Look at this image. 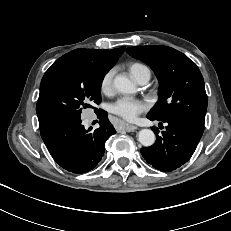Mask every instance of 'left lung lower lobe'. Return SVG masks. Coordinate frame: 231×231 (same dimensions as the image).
<instances>
[{
  "label": "left lung lower lobe",
  "mask_w": 231,
  "mask_h": 231,
  "mask_svg": "<svg viewBox=\"0 0 231 231\" xmlns=\"http://www.w3.org/2000/svg\"><path fill=\"white\" fill-rule=\"evenodd\" d=\"M151 121L166 122L167 126L159 136V129L152 127L157 134L156 142L141 149L144 159L154 168L169 172L179 168L193 155L204 131V125L181 117L157 119L147 115Z\"/></svg>",
  "instance_id": "obj_1"
}]
</instances>
